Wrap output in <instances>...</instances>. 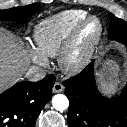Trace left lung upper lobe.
<instances>
[{"label":"left lung upper lobe","mask_w":127,"mask_h":127,"mask_svg":"<svg viewBox=\"0 0 127 127\" xmlns=\"http://www.w3.org/2000/svg\"><path fill=\"white\" fill-rule=\"evenodd\" d=\"M109 18L111 20L108 33L109 39L118 40L127 37V22L117 18L112 13H109Z\"/></svg>","instance_id":"5c2ea615"}]
</instances>
